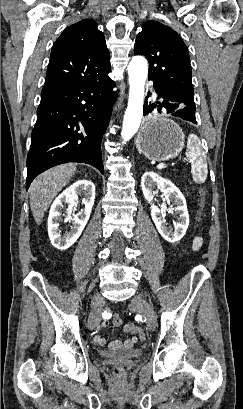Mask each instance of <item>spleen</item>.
Returning <instances> with one entry per match:
<instances>
[{
    "instance_id": "3e777b00",
    "label": "spleen",
    "mask_w": 243,
    "mask_h": 409,
    "mask_svg": "<svg viewBox=\"0 0 243 409\" xmlns=\"http://www.w3.org/2000/svg\"><path fill=\"white\" fill-rule=\"evenodd\" d=\"M186 156L191 162L193 180L200 184L204 183L208 173L207 163L202 156L201 142L195 134L188 136Z\"/></svg>"
}]
</instances>
